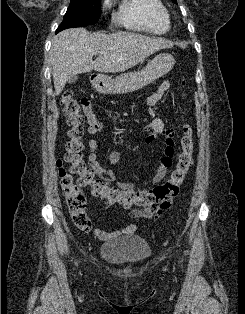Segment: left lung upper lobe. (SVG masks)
<instances>
[{
	"instance_id": "5c2ea615",
	"label": "left lung upper lobe",
	"mask_w": 245,
	"mask_h": 314,
	"mask_svg": "<svg viewBox=\"0 0 245 314\" xmlns=\"http://www.w3.org/2000/svg\"><path fill=\"white\" fill-rule=\"evenodd\" d=\"M171 1H173L174 3H176V4H177V0H171Z\"/></svg>"
}]
</instances>
